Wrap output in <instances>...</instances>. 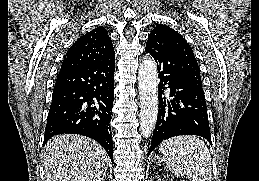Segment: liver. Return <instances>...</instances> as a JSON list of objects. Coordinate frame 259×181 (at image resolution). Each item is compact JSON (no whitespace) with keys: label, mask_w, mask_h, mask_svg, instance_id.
Returning a JSON list of instances; mask_svg holds the SVG:
<instances>
[{"label":"liver","mask_w":259,"mask_h":181,"mask_svg":"<svg viewBox=\"0 0 259 181\" xmlns=\"http://www.w3.org/2000/svg\"><path fill=\"white\" fill-rule=\"evenodd\" d=\"M46 181H102L108 155L96 141L81 135L62 134L44 148Z\"/></svg>","instance_id":"1"}]
</instances>
